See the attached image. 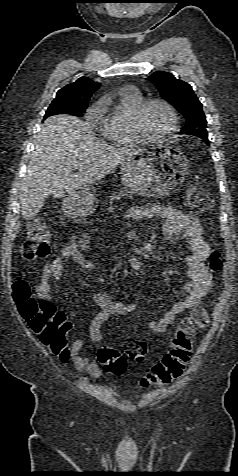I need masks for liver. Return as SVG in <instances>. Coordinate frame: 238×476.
Wrapping results in <instances>:
<instances>
[{
    "label": "liver",
    "mask_w": 238,
    "mask_h": 476,
    "mask_svg": "<svg viewBox=\"0 0 238 476\" xmlns=\"http://www.w3.org/2000/svg\"><path fill=\"white\" fill-rule=\"evenodd\" d=\"M141 152L142 148H116L98 141L78 117L47 118L22 180V218L34 217L48 196L64 197L91 186ZM74 170L79 172L73 173Z\"/></svg>",
    "instance_id": "liver-1"
}]
</instances>
